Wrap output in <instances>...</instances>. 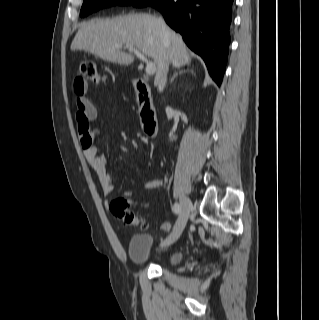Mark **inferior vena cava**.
<instances>
[{
	"instance_id": "602c4592",
	"label": "inferior vena cava",
	"mask_w": 319,
	"mask_h": 320,
	"mask_svg": "<svg viewBox=\"0 0 319 320\" xmlns=\"http://www.w3.org/2000/svg\"><path fill=\"white\" fill-rule=\"evenodd\" d=\"M159 22L161 24V32H162L163 37L168 38L170 35L168 27L166 26V24L162 18H159ZM167 71H168V66H166L164 73H163V76H162L160 83L158 85V90L160 92L163 91V89L165 87L166 80H167Z\"/></svg>"
}]
</instances>
